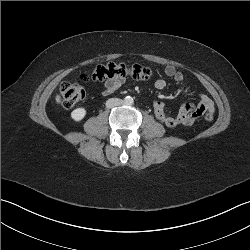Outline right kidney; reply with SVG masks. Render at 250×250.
Wrapping results in <instances>:
<instances>
[{
  "instance_id": "ca27d5eb",
  "label": "right kidney",
  "mask_w": 250,
  "mask_h": 250,
  "mask_svg": "<svg viewBox=\"0 0 250 250\" xmlns=\"http://www.w3.org/2000/svg\"><path fill=\"white\" fill-rule=\"evenodd\" d=\"M86 115V110L84 108H77L71 112V118L74 121H81Z\"/></svg>"
}]
</instances>
